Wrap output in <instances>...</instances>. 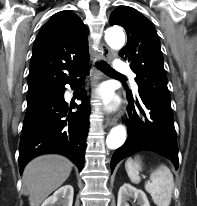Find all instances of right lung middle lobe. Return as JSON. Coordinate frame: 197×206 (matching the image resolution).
<instances>
[{
    "instance_id": "obj_1",
    "label": "right lung middle lobe",
    "mask_w": 197,
    "mask_h": 206,
    "mask_svg": "<svg viewBox=\"0 0 197 206\" xmlns=\"http://www.w3.org/2000/svg\"><path fill=\"white\" fill-rule=\"evenodd\" d=\"M57 90H30L27 93V107H31L56 93Z\"/></svg>"
}]
</instances>
